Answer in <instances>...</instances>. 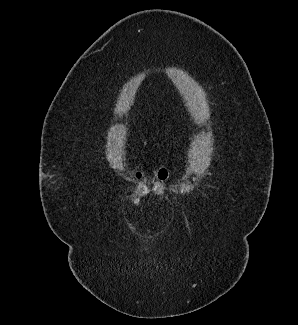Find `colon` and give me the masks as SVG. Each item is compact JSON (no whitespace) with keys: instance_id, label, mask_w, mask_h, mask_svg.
<instances>
[{"instance_id":"5ec220e1","label":"colon","mask_w":298,"mask_h":325,"mask_svg":"<svg viewBox=\"0 0 298 325\" xmlns=\"http://www.w3.org/2000/svg\"><path fill=\"white\" fill-rule=\"evenodd\" d=\"M136 178L138 180V196L145 197L149 193L161 194L164 190L165 183L168 179V169L167 167H161L156 175L155 183L150 186L148 183L144 182L143 174L141 172L136 173Z\"/></svg>"}]
</instances>
